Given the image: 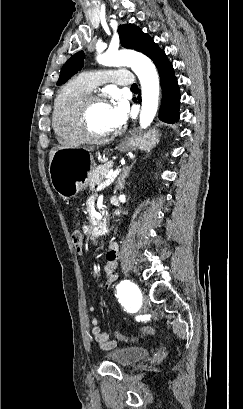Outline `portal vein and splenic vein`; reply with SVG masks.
I'll list each match as a JSON object with an SVG mask.
<instances>
[{
  "label": "portal vein and splenic vein",
  "mask_w": 243,
  "mask_h": 409,
  "mask_svg": "<svg viewBox=\"0 0 243 409\" xmlns=\"http://www.w3.org/2000/svg\"><path fill=\"white\" fill-rule=\"evenodd\" d=\"M120 171L121 169L118 168L114 172L108 174L107 179L98 185L96 191H100L106 188L107 186L111 185L114 182L115 178L119 175Z\"/></svg>",
  "instance_id": "obj_1"
}]
</instances>
